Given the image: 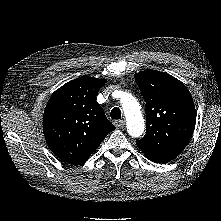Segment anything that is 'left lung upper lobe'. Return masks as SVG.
<instances>
[{"label":"left lung upper lobe","mask_w":221,"mask_h":221,"mask_svg":"<svg viewBox=\"0 0 221 221\" xmlns=\"http://www.w3.org/2000/svg\"><path fill=\"white\" fill-rule=\"evenodd\" d=\"M146 102V134L136 141L146 158L173 160L189 142L196 123L192 96L175 77L156 70L135 74Z\"/></svg>","instance_id":"left-lung-upper-lobe-1"}]
</instances>
